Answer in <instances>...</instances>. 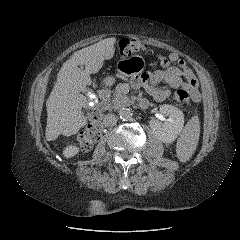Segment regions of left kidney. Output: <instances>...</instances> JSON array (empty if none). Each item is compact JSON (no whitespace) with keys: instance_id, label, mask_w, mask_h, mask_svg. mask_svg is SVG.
I'll use <instances>...</instances> for the list:
<instances>
[{"instance_id":"1","label":"left kidney","mask_w":240,"mask_h":240,"mask_svg":"<svg viewBox=\"0 0 240 240\" xmlns=\"http://www.w3.org/2000/svg\"><path fill=\"white\" fill-rule=\"evenodd\" d=\"M160 112L168 116L169 120L162 124L159 120L152 119L149 122L150 129L160 141L171 143L182 131L184 114L177 107L168 104L160 106Z\"/></svg>"}]
</instances>
